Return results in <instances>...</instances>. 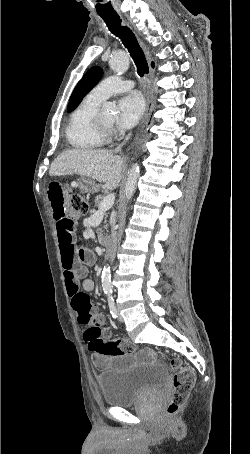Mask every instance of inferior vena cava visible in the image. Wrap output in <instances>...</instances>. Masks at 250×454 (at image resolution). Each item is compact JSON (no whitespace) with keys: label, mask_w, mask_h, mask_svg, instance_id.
<instances>
[{"label":"inferior vena cava","mask_w":250,"mask_h":454,"mask_svg":"<svg viewBox=\"0 0 250 454\" xmlns=\"http://www.w3.org/2000/svg\"><path fill=\"white\" fill-rule=\"evenodd\" d=\"M127 139H128V137L126 138V140ZM119 150H120V146L116 149V151H119ZM111 235H112V242L107 250V254H108V257L110 258V261L113 262L115 255H116V246H117V242H118V233L115 229V225L112 226Z\"/></svg>","instance_id":"inferior-vena-cava-1"}]
</instances>
